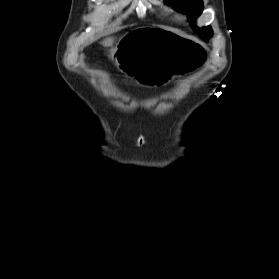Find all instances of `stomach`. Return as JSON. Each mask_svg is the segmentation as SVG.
Listing matches in <instances>:
<instances>
[{
	"label": "stomach",
	"mask_w": 279,
	"mask_h": 279,
	"mask_svg": "<svg viewBox=\"0 0 279 279\" xmlns=\"http://www.w3.org/2000/svg\"><path fill=\"white\" fill-rule=\"evenodd\" d=\"M139 30H129L119 49L110 54L118 68L128 75H135L140 82L133 87L165 82V78H193L189 69H195L206 59L205 46L181 37L175 30L157 29L156 25H139ZM133 49H185V50H133ZM149 86V91H157Z\"/></svg>",
	"instance_id": "stomach-1"
}]
</instances>
